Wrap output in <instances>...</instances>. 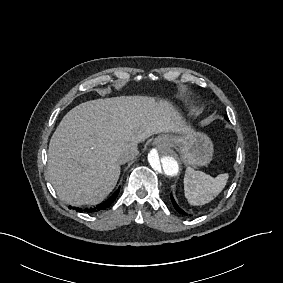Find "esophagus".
I'll list each match as a JSON object with an SVG mask.
<instances>
[{
  "label": "esophagus",
  "mask_w": 283,
  "mask_h": 283,
  "mask_svg": "<svg viewBox=\"0 0 283 283\" xmlns=\"http://www.w3.org/2000/svg\"><path fill=\"white\" fill-rule=\"evenodd\" d=\"M160 144H166L169 141V136L162 135L156 138Z\"/></svg>",
  "instance_id": "1"
}]
</instances>
